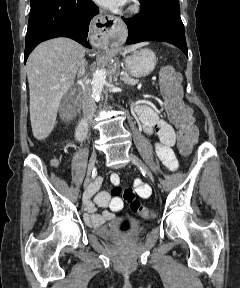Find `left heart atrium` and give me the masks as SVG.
<instances>
[{"instance_id":"1","label":"left heart atrium","mask_w":240,"mask_h":288,"mask_svg":"<svg viewBox=\"0 0 240 288\" xmlns=\"http://www.w3.org/2000/svg\"><path fill=\"white\" fill-rule=\"evenodd\" d=\"M95 1L104 7L113 9L122 6L126 0H95Z\"/></svg>"}]
</instances>
